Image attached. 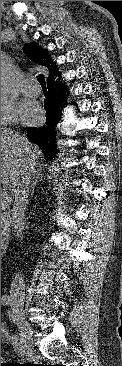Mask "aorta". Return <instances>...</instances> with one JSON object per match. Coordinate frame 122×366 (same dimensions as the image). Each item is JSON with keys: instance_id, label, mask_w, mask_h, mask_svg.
<instances>
[{"instance_id": "obj_1", "label": "aorta", "mask_w": 122, "mask_h": 366, "mask_svg": "<svg viewBox=\"0 0 122 366\" xmlns=\"http://www.w3.org/2000/svg\"><path fill=\"white\" fill-rule=\"evenodd\" d=\"M11 88V79L6 64H1V96L8 94Z\"/></svg>"}]
</instances>
